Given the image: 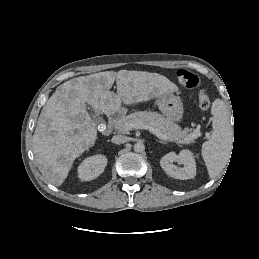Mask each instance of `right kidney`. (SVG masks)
<instances>
[{
    "instance_id": "1",
    "label": "right kidney",
    "mask_w": 259,
    "mask_h": 259,
    "mask_svg": "<svg viewBox=\"0 0 259 259\" xmlns=\"http://www.w3.org/2000/svg\"><path fill=\"white\" fill-rule=\"evenodd\" d=\"M106 165L107 158L103 155L88 157L78 166V177L82 181H91L103 173Z\"/></svg>"
}]
</instances>
